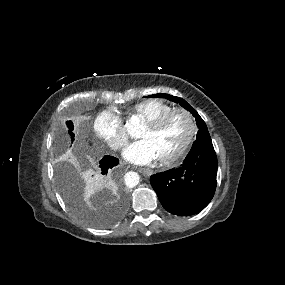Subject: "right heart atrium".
<instances>
[{"label":"right heart atrium","instance_id":"1","mask_svg":"<svg viewBox=\"0 0 285 285\" xmlns=\"http://www.w3.org/2000/svg\"><path fill=\"white\" fill-rule=\"evenodd\" d=\"M96 135L114 150L123 148L128 135L121 118L112 111H103L94 119Z\"/></svg>","mask_w":285,"mask_h":285}]
</instances>
